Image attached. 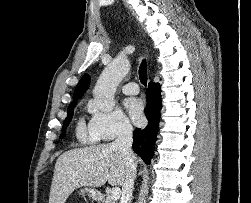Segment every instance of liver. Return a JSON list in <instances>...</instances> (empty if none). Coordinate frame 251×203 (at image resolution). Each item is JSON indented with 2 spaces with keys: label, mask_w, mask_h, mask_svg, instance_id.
Listing matches in <instances>:
<instances>
[{
  "label": "liver",
  "mask_w": 251,
  "mask_h": 203,
  "mask_svg": "<svg viewBox=\"0 0 251 203\" xmlns=\"http://www.w3.org/2000/svg\"><path fill=\"white\" fill-rule=\"evenodd\" d=\"M125 178L123 156L111 143L69 150L56 161L49 203H65L80 187L123 186Z\"/></svg>",
  "instance_id": "liver-1"
}]
</instances>
